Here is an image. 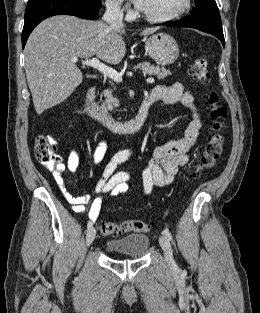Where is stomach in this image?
I'll return each instance as SVG.
<instances>
[{"label":"stomach","mask_w":260,"mask_h":313,"mask_svg":"<svg viewBox=\"0 0 260 313\" xmlns=\"http://www.w3.org/2000/svg\"><path fill=\"white\" fill-rule=\"evenodd\" d=\"M145 50L160 65H170L179 57L177 42L166 33L152 35L145 43Z\"/></svg>","instance_id":"0dacf381"}]
</instances>
